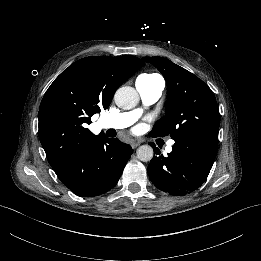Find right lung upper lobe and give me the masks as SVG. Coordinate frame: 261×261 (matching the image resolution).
Returning <instances> with one entry per match:
<instances>
[{"label":"right lung upper lobe","mask_w":261,"mask_h":261,"mask_svg":"<svg viewBox=\"0 0 261 261\" xmlns=\"http://www.w3.org/2000/svg\"><path fill=\"white\" fill-rule=\"evenodd\" d=\"M143 65L131 55L86 57L54 80L40 104L39 138L55 171L98 141L101 136L86 124L109 107L118 87Z\"/></svg>","instance_id":"cb5924a9"}]
</instances>
